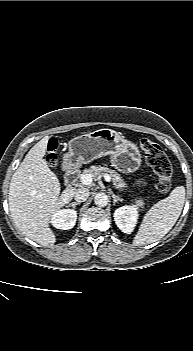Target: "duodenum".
Masks as SVG:
<instances>
[{"label":"duodenum","mask_w":193,"mask_h":351,"mask_svg":"<svg viewBox=\"0 0 193 351\" xmlns=\"http://www.w3.org/2000/svg\"><path fill=\"white\" fill-rule=\"evenodd\" d=\"M79 172V166L76 160L69 156L64 160V180L67 188H73L75 186L77 176Z\"/></svg>","instance_id":"410a0bca"}]
</instances>
